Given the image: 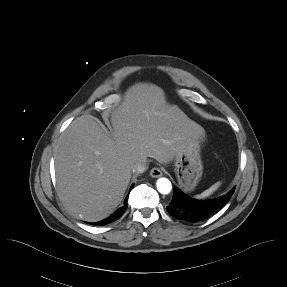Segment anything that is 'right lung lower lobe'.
Here are the masks:
<instances>
[{
    "label": "right lung lower lobe",
    "mask_w": 287,
    "mask_h": 287,
    "mask_svg": "<svg viewBox=\"0 0 287 287\" xmlns=\"http://www.w3.org/2000/svg\"><path fill=\"white\" fill-rule=\"evenodd\" d=\"M133 188V185L131 186L130 190ZM127 201H128V196L126 197L125 201H124V204L122 207H120L116 212H114L111 216H109L108 218L102 220V221H99L97 223H94V225H100V226H104V225H107L109 223H112L116 220H118L123 214L124 212L126 211L127 207H128V204H127Z\"/></svg>",
    "instance_id": "right-lung-lower-lobe-1"
}]
</instances>
